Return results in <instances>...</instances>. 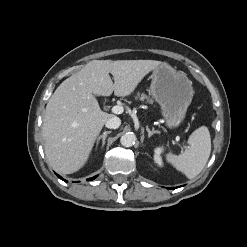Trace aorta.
I'll use <instances>...</instances> for the list:
<instances>
[{"label": "aorta", "mask_w": 247, "mask_h": 247, "mask_svg": "<svg viewBox=\"0 0 247 247\" xmlns=\"http://www.w3.org/2000/svg\"><path fill=\"white\" fill-rule=\"evenodd\" d=\"M136 142V136L132 132H127L121 136L120 143L125 147H131Z\"/></svg>", "instance_id": "obj_1"}]
</instances>
